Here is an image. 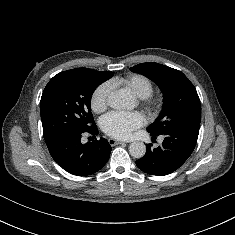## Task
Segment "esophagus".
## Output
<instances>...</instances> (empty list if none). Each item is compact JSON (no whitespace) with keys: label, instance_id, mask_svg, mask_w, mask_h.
<instances>
[{"label":"esophagus","instance_id":"esophagus-1","mask_svg":"<svg viewBox=\"0 0 235 235\" xmlns=\"http://www.w3.org/2000/svg\"><path fill=\"white\" fill-rule=\"evenodd\" d=\"M108 142H109V144H110L111 146H115V145H117V144L123 143V141L116 140V139H114V138L108 139Z\"/></svg>","mask_w":235,"mask_h":235}]
</instances>
